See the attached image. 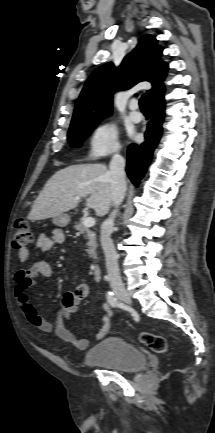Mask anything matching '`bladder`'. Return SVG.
I'll list each match as a JSON object with an SVG mask.
<instances>
[{
  "label": "bladder",
  "mask_w": 215,
  "mask_h": 433,
  "mask_svg": "<svg viewBox=\"0 0 215 433\" xmlns=\"http://www.w3.org/2000/svg\"><path fill=\"white\" fill-rule=\"evenodd\" d=\"M84 361L88 366H104L121 373L141 370L147 364L141 349L118 337L102 339L86 353Z\"/></svg>",
  "instance_id": "bladder-1"
}]
</instances>
